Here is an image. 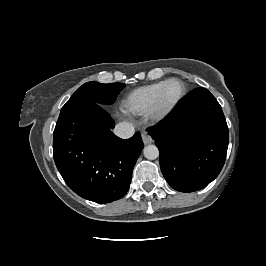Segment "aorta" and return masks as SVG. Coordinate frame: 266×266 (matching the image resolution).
I'll return each instance as SVG.
<instances>
[{"label":"aorta","instance_id":"obj_1","mask_svg":"<svg viewBox=\"0 0 266 266\" xmlns=\"http://www.w3.org/2000/svg\"><path fill=\"white\" fill-rule=\"evenodd\" d=\"M143 154H144L145 158H147L149 160H154V159L158 158L159 150H158L157 146H155V145H148L143 149Z\"/></svg>","mask_w":266,"mask_h":266}]
</instances>
